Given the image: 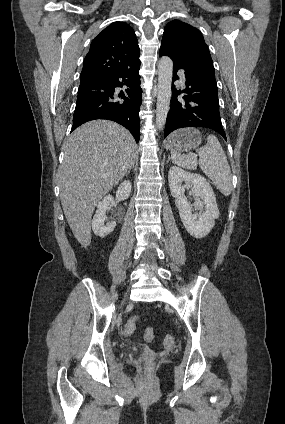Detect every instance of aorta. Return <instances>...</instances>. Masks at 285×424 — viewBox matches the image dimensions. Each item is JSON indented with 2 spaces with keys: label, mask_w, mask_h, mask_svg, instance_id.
Instances as JSON below:
<instances>
[{
  "label": "aorta",
  "mask_w": 285,
  "mask_h": 424,
  "mask_svg": "<svg viewBox=\"0 0 285 424\" xmlns=\"http://www.w3.org/2000/svg\"><path fill=\"white\" fill-rule=\"evenodd\" d=\"M173 62L170 57H161L158 64V96L156 107V127L162 130L170 109Z\"/></svg>",
  "instance_id": "762f6f07"
}]
</instances>
